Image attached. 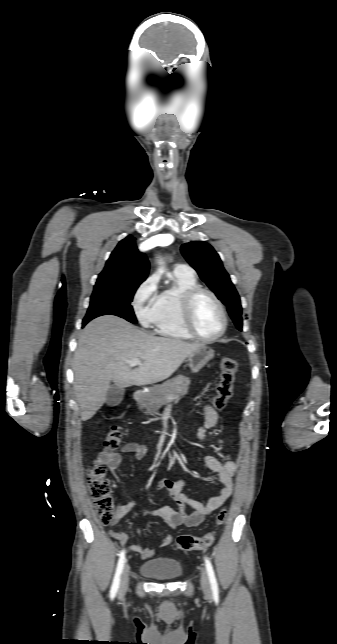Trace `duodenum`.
<instances>
[{"label": "duodenum", "instance_id": "obj_1", "mask_svg": "<svg viewBox=\"0 0 337 644\" xmlns=\"http://www.w3.org/2000/svg\"><path fill=\"white\" fill-rule=\"evenodd\" d=\"M144 397V392L142 390H138L134 393V399L136 401H141Z\"/></svg>", "mask_w": 337, "mask_h": 644}]
</instances>
